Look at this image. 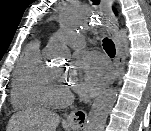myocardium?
I'll return each mask as SVG.
<instances>
[{"label": "myocardium", "instance_id": "obj_1", "mask_svg": "<svg viewBox=\"0 0 151 131\" xmlns=\"http://www.w3.org/2000/svg\"><path fill=\"white\" fill-rule=\"evenodd\" d=\"M55 74L53 68H48L39 83V93L44 104L54 107H62L70 104L74 97L70 91L61 94H54L51 91L50 83Z\"/></svg>", "mask_w": 151, "mask_h": 131}]
</instances>
